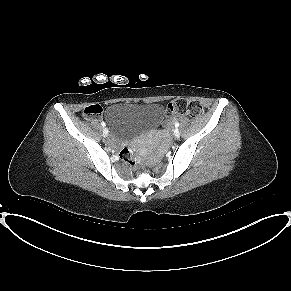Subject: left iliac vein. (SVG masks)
Returning a JSON list of instances; mask_svg holds the SVG:
<instances>
[{"label":"left iliac vein","instance_id":"obj_1","mask_svg":"<svg viewBox=\"0 0 291 291\" xmlns=\"http://www.w3.org/2000/svg\"><path fill=\"white\" fill-rule=\"evenodd\" d=\"M174 135H175V137H177V138L180 136V132H179L178 129H175V130H174Z\"/></svg>","mask_w":291,"mask_h":291}]
</instances>
